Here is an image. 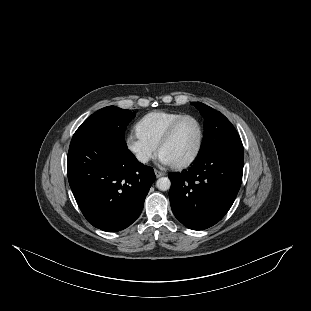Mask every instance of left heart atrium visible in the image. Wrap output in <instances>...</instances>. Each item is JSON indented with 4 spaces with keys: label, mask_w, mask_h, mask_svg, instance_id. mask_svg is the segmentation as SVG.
Here are the masks:
<instances>
[{
    "label": "left heart atrium",
    "mask_w": 311,
    "mask_h": 311,
    "mask_svg": "<svg viewBox=\"0 0 311 311\" xmlns=\"http://www.w3.org/2000/svg\"><path fill=\"white\" fill-rule=\"evenodd\" d=\"M160 162L164 165H172L165 157L160 155Z\"/></svg>",
    "instance_id": "obj_1"
}]
</instances>
